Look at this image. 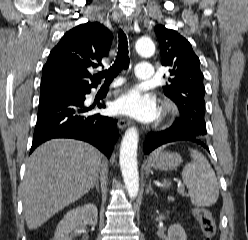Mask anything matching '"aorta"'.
<instances>
[{"mask_svg": "<svg viewBox=\"0 0 248 240\" xmlns=\"http://www.w3.org/2000/svg\"><path fill=\"white\" fill-rule=\"evenodd\" d=\"M135 49L142 57H151L155 52V45L149 38H140ZM139 134L135 127L127 129L120 147V168L124 183L130 198H135L139 191V174L137 165V148Z\"/></svg>", "mask_w": 248, "mask_h": 240, "instance_id": "762f6f07", "label": "aorta"}]
</instances>
